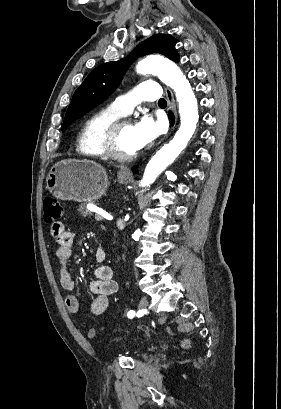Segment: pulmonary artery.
Wrapping results in <instances>:
<instances>
[{
	"label": "pulmonary artery",
	"instance_id": "pulmonary-artery-1",
	"mask_svg": "<svg viewBox=\"0 0 281 409\" xmlns=\"http://www.w3.org/2000/svg\"><path fill=\"white\" fill-rule=\"evenodd\" d=\"M158 97L159 87L156 81H139L134 90L124 92V97L114 98L112 110L119 115H126L131 110V106L139 104V99L143 102H154Z\"/></svg>",
	"mask_w": 281,
	"mask_h": 409
}]
</instances>
